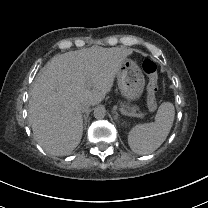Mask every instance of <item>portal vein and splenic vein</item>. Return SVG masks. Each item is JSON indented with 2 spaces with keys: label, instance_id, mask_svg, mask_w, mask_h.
I'll list each match as a JSON object with an SVG mask.
<instances>
[{
  "label": "portal vein and splenic vein",
  "instance_id": "obj_1",
  "mask_svg": "<svg viewBox=\"0 0 208 208\" xmlns=\"http://www.w3.org/2000/svg\"><path fill=\"white\" fill-rule=\"evenodd\" d=\"M120 111L122 112V114L127 115V116H131V117H138L141 116L143 117V119H146V116L144 113H136V114H132V113H128L125 110H123V108H120Z\"/></svg>",
  "mask_w": 208,
  "mask_h": 208
}]
</instances>
